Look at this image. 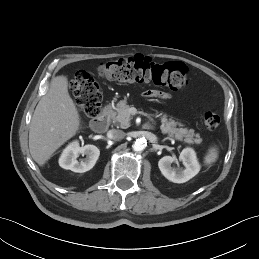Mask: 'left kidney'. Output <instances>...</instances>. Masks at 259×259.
Here are the masks:
<instances>
[{
    "label": "left kidney",
    "mask_w": 259,
    "mask_h": 259,
    "mask_svg": "<svg viewBox=\"0 0 259 259\" xmlns=\"http://www.w3.org/2000/svg\"><path fill=\"white\" fill-rule=\"evenodd\" d=\"M179 160L183 162L184 169H175L171 166L173 162H177L175 157L164 156L158 162V167L165 178L174 183H185L198 174L200 164L197 160L196 153L192 148H185L179 156Z\"/></svg>",
    "instance_id": "1"
}]
</instances>
